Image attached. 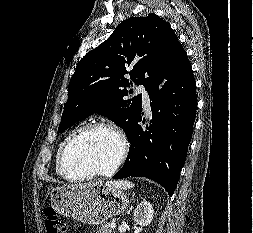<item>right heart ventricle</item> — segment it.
Segmentation results:
<instances>
[{
	"mask_svg": "<svg viewBox=\"0 0 253 233\" xmlns=\"http://www.w3.org/2000/svg\"><path fill=\"white\" fill-rule=\"evenodd\" d=\"M74 132H71L69 133L64 139L63 141L60 143L58 149H57V152H56V160H55V167H56V172L57 174L61 175L60 174V170H59V159H60V154H61V151L65 145V143L67 142V140L71 137V135L73 134ZM62 176V175H61Z\"/></svg>",
	"mask_w": 253,
	"mask_h": 233,
	"instance_id": "1",
	"label": "right heart ventricle"
}]
</instances>
